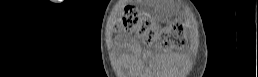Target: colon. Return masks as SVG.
<instances>
[{
  "label": "colon",
  "instance_id": "1",
  "mask_svg": "<svg viewBox=\"0 0 258 77\" xmlns=\"http://www.w3.org/2000/svg\"><path fill=\"white\" fill-rule=\"evenodd\" d=\"M117 30L136 32L146 44H156L164 49L171 48L182 40L183 26L170 24L159 30L154 19L149 15H142L133 8H126L119 21L116 22Z\"/></svg>",
  "mask_w": 258,
  "mask_h": 77
}]
</instances>
